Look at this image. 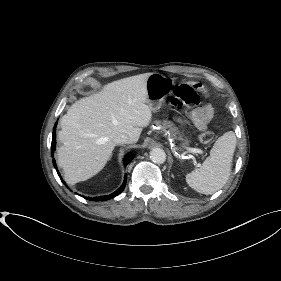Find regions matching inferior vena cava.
<instances>
[{
  "label": "inferior vena cava",
  "mask_w": 281,
  "mask_h": 281,
  "mask_svg": "<svg viewBox=\"0 0 281 281\" xmlns=\"http://www.w3.org/2000/svg\"><path fill=\"white\" fill-rule=\"evenodd\" d=\"M113 141L117 145L126 144L130 142V138L126 134H119L113 138Z\"/></svg>",
  "instance_id": "1"
}]
</instances>
